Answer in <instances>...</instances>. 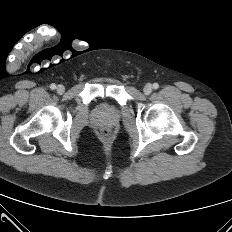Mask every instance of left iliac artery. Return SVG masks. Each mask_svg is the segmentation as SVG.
<instances>
[{
	"label": "left iliac artery",
	"instance_id": "obj_1",
	"mask_svg": "<svg viewBox=\"0 0 232 232\" xmlns=\"http://www.w3.org/2000/svg\"><path fill=\"white\" fill-rule=\"evenodd\" d=\"M153 88H154V89H158V88H159V84H158V83H154V84H153Z\"/></svg>",
	"mask_w": 232,
	"mask_h": 232
}]
</instances>
